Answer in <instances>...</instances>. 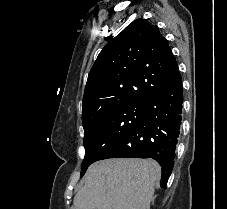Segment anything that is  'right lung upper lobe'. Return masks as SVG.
Returning a JSON list of instances; mask_svg holds the SVG:
<instances>
[{
    "mask_svg": "<svg viewBox=\"0 0 227 209\" xmlns=\"http://www.w3.org/2000/svg\"><path fill=\"white\" fill-rule=\"evenodd\" d=\"M172 65L177 62L159 28L145 19L133 21L98 55L85 87L82 120L101 113L103 99L145 102L170 83L159 70Z\"/></svg>",
    "mask_w": 227,
    "mask_h": 209,
    "instance_id": "1",
    "label": "right lung upper lobe"
}]
</instances>
